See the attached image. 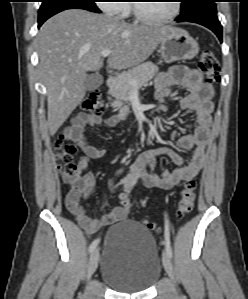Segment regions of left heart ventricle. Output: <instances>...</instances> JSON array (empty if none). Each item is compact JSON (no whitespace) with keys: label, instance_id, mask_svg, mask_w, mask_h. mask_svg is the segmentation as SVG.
Segmentation results:
<instances>
[{"label":"left heart ventricle","instance_id":"1","mask_svg":"<svg viewBox=\"0 0 248 299\" xmlns=\"http://www.w3.org/2000/svg\"><path fill=\"white\" fill-rule=\"evenodd\" d=\"M139 4L145 15L154 18L168 16L173 11V1H148Z\"/></svg>","mask_w":248,"mask_h":299}]
</instances>
